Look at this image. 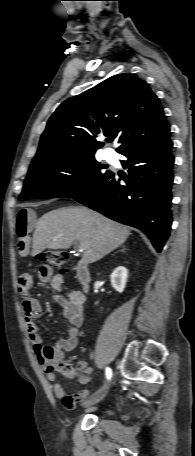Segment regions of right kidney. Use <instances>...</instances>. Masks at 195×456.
<instances>
[{"label": "right kidney", "mask_w": 195, "mask_h": 456, "mask_svg": "<svg viewBox=\"0 0 195 456\" xmlns=\"http://www.w3.org/2000/svg\"><path fill=\"white\" fill-rule=\"evenodd\" d=\"M127 277H128V270L123 267H117L111 274L110 279H111V284L113 288L119 292L122 293L127 282Z\"/></svg>", "instance_id": "right-kidney-1"}]
</instances>
